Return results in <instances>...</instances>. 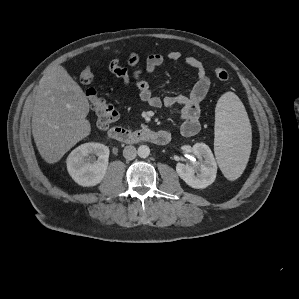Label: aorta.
I'll return each mask as SVG.
<instances>
[{
  "label": "aorta",
  "mask_w": 299,
  "mask_h": 299,
  "mask_svg": "<svg viewBox=\"0 0 299 299\" xmlns=\"http://www.w3.org/2000/svg\"><path fill=\"white\" fill-rule=\"evenodd\" d=\"M137 154L141 158H147L150 154V148L147 145H141L138 147Z\"/></svg>",
  "instance_id": "1"
}]
</instances>
